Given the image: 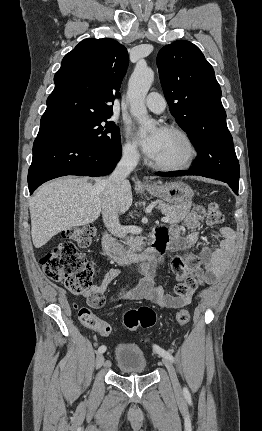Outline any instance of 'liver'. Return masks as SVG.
I'll return each mask as SVG.
<instances>
[{
  "instance_id": "6515ba94",
  "label": "liver",
  "mask_w": 262,
  "mask_h": 431,
  "mask_svg": "<svg viewBox=\"0 0 262 431\" xmlns=\"http://www.w3.org/2000/svg\"><path fill=\"white\" fill-rule=\"evenodd\" d=\"M102 178L64 177L41 186L30 200L31 235L36 248L64 229L94 222L107 198ZM129 181L117 196L118 212L132 205Z\"/></svg>"
}]
</instances>
